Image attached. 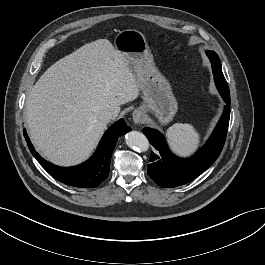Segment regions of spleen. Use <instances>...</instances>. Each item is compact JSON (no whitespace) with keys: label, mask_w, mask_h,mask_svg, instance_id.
<instances>
[{"label":"spleen","mask_w":265,"mask_h":265,"mask_svg":"<svg viewBox=\"0 0 265 265\" xmlns=\"http://www.w3.org/2000/svg\"><path fill=\"white\" fill-rule=\"evenodd\" d=\"M171 150L182 157L192 155L199 147L200 134L191 124L176 123L166 131Z\"/></svg>","instance_id":"1"}]
</instances>
